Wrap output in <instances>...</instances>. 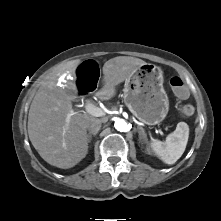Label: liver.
I'll return each instance as SVG.
<instances>
[{"instance_id": "obj_1", "label": "liver", "mask_w": 221, "mask_h": 221, "mask_svg": "<svg viewBox=\"0 0 221 221\" xmlns=\"http://www.w3.org/2000/svg\"><path fill=\"white\" fill-rule=\"evenodd\" d=\"M79 64L80 60L70 61L63 70L76 78ZM144 64L145 61L129 56L106 61L102 68L103 95H114L115 87ZM77 93L74 83L59 87L56 76H51L41 84L28 114V135L32 145L47 163L62 169L74 167L87 155L86 124L95 119L89 114L73 111L72 101L77 98ZM71 111L74 114L68 119Z\"/></svg>"}]
</instances>
